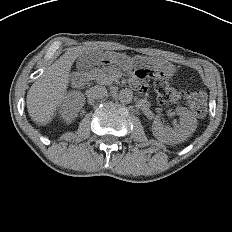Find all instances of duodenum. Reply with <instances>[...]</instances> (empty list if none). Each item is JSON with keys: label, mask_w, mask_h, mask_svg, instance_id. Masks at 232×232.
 I'll return each instance as SVG.
<instances>
[{"label": "duodenum", "mask_w": 232, "mask_h": 232, "mask_svg": "<svg viewBox=\"0 0 232 232\" xmlns=\"http://www.w3.org/2000/svg\"><path fill=\"white\" fill-rule=\"evenodd\" d=\"M82 82V79L79 81V83H81Z\"/></svg>", "instance_id": "duodenum-1"}]
</instances>
